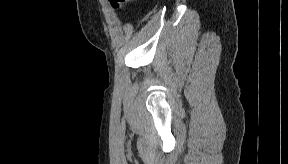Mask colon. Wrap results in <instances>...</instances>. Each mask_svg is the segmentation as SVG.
Returning a JSON list of instances; mask_svg holds the SVG:
<instances>
[{"mask_svg":"<svg viewBox=\"0 0 288 164\" xmlns=\"http://www.w3.org/2000/svg\"><path fill=\"white\" fill-rule=\"evenodd\" d=\"M110 3L115 8H122L124 4V0H111Z\"/></svg>","mask_w":288,"mask_h":164,"instance_id":"5ec220e1","label":"colon"}]
</instances>
